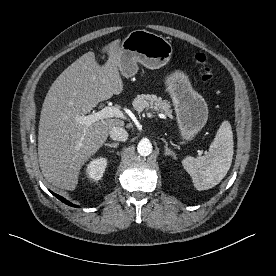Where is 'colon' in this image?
I'll list each match as a JSON object with an SVG mask.
<instances>
[{
    "mask_svg": "<svg viewBox=\"0 0 276 276\" xmlns=\"http://www.w3.org/2000/svg\"><path fill=\"white\" fill-rule=\"evenodd\" d=\"M195 60L199 64L205 66L204 67V72H203V75H202L203 82H205V83L211 82L214 78V74H213L212 70L209 67L206 66V64H207L206 56L203 53H197L195 55Z\"/></svg>",
    "mask_w": 276,
    "mask_h": 276,
    "instance_id": "colon-1",
    "label": "colon"
}]
</instances>
